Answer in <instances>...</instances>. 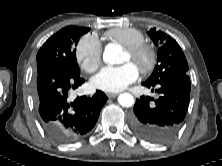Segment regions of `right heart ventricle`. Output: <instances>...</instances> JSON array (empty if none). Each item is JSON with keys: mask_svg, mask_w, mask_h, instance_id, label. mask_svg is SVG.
Here are the masks:
<instances>
[{"mask_svg": "<svg viewBox=\"0 0 222 166\" xmlns=\"http://www.w3.org/2000/svg\"><path fill=\"white\" fill-rule=\"evenodd\" d=\"M105 37L123 47H130L145 42L143 33L135 28H114L106 32Z\"/></svg>", "mask_w": 222, "mask_h": 166, "instance_id": "e07e8e85", "label": "right heart ventricle"}]
</instances>
